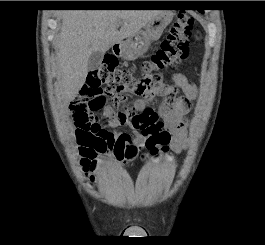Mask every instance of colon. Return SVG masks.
Listing matches in <instances>:
<instances>
[{"label": "colon", "instance_id": "colon-1", "mask_svg": "<svg viewBox=\"0 0 265 245\" xmlns=\"http://www.w3.org/2000/svg\"><path fill=\"white\" fill-rule=\"evenodd\" d=\"M194 27L195 19L192 16L179 14L160 49L149 60L140 62L136 71L120 69L118 59L108 54L105 61L88 74L87 86L91 89V94H106L120 101L121 94L128 90L146 102H151L162 91L158 72L174 71L188 58ZM91 108L90 114L86 108L77 109L75 105L71 107V112L78 121L77 143L86 148L107 149L118 156H133L136 152L134 149L127 147L123 140L115 139L113 133L100 129L101 116L94 112L98 110V106L92 105ZM120 122L128 123L141 132L145 138L143 156H156L168 151L170 132L151 108L134 115L124 113Z\"/></svg>", "mask_w": 265, "mask_h": 245}]
</instances>
